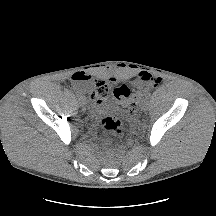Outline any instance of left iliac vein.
I'll use <instances>...</instances> for the list:
<instances>
[{
	"label": "left iliac vein",
	"instance_id": "4c4485c4",
	"mask_svg": "<svg viewBox=\"0 0 216 216\" xmlns=\"http://www.w3.org/2000/svg\"><path fill=\"white\" fill-rule=\"evenodd\" d=\"M146 109H147V105H144V106H143V110H146Z\"/></svg>",
	"mask_w": 216,
	"mask_h": 216
}]
</instances>
